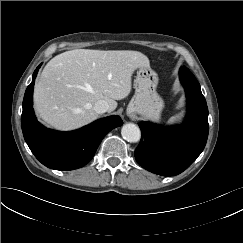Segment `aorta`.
<instances>
[{"label":"aorta","instance_id":"762f6f07","mask_svg":"<svg viewBox=\"0 0 243 243\" xmlns=\"http://www.w3.org/2000/svg\"><path fill=\"white\" fill-rule=\"evenodd\" d=\"M122 137L128 142H138L141 137L139 127L133 123L125 124L121 129Z\"/></svg>","mask_w":243,"mask_h":243}]
</instances>
